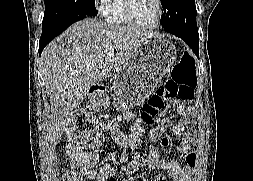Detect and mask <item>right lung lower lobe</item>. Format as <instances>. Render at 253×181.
<instances>
[{"label":"right lung lower lobe","instance_id":"right-lung-lower-lobe-1","mask_svg":"<svg viewBox=\"0 0 253 181\" xmlns=\"http://www.w3.org/2000/svg\"><path fill=\"white\" fill-rule=\"evenodd\" d=\"M87 15H79V16H73L68 19H66L63 22H60L58 24H55L50 27L42 28V35L39 41V55H41L44 47L56 36H58L60 33H62L65 29H67L71 24L74 22H77L79 20H82Z\"/></svg>","mask_w":253,"mask_h":181}]
</instances>
